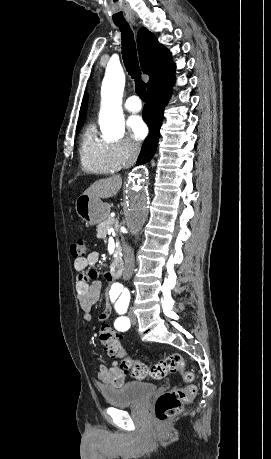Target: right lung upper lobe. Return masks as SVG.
I'll return each instance as SVG.
<instances>
[{
  "mask_svg": "<svg viewBox=\"0 0 271 459\" xmlns=\"http://www.w3.org/2000/svg\"><path fill=\"white\" fill-rule=\"evenodd\" d=\"M140 64L144 74L149 75L147 89L164 77L174 73L175 64L169 50L160 44L155 35L145 27L140 28L137 34ZM88 96L85 94L80 109V120H85Z\"/></svg>",
  "mask_w": 271,
  "mask_h": 459,
  "instance_id": "cb5924a9",
  "label": "right lung upper lobe"
}]
</instances>
